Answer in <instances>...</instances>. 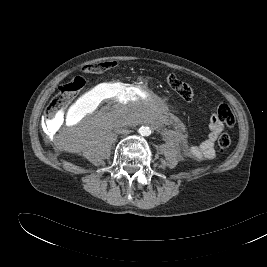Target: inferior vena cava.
<instances>
[{
    "mask_svg": "<svg viewBox=\"0 0 267 267\" xmlns=\"http://www.w3.org/2000/svg\"><path fill=\"white\" fill-rule=\"evenodd\" d=\"M123 132H124L125 134H129L130 131H129V130H124Z\"/></svg>",
    "mask_w": 267,
    "mask_h": 267,
    "instance_id": "1",
    "label": "inferior vena cava"
}]
</instances>
